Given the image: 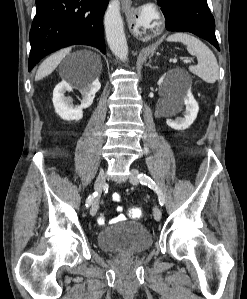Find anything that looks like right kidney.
Masks as SVG:
<instances>
[{
    "label": "right kidney",
    "mask_w": 247,
    "mask_h": 299,
    "mask_svg": "<svg viewBox=\"0 0 247 299\" xmlns=\"http://www.w3.org/2000/svg\"><path fill=\"white\" fill-rule=\"evenodd\" d=\"M101 88L98 77L86 85L78 86V89L83 97L79 106L73 105L71 97H65L66 91H72L73 86L67 81H61L56 85L53 91V105L55 112L64 120H80L83 117V109L90 107L95 98V94Z\"/></svg>",
    "instance_id": "1"
}]
</instances>
